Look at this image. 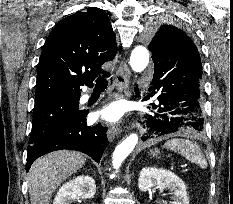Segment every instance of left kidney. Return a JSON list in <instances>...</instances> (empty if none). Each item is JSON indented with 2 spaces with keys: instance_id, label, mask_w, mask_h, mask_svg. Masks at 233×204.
I'll return each mask as SVG.
<instances>
[{
  "instance_id": "1",
  "label": "left kidney",
  "mask_w": 233,
  "mask_h": 204,
  "mask_svg": "<svg viewBox=\"0 0 233 204\" xmlns=\"http://www.w3.org/2000/svg\"><path fill=\"white\" fill-rule=\"evenodd\" d=\"M138 186L142 192L167 189L173 195L170 204H189L184 182L171 171L153 167L143 168L139 175Z\"/></svg>"
}]
</instances>
